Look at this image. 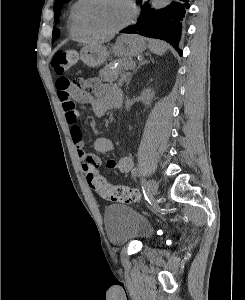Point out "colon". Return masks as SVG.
I'll return each instance as SVG.
<instances>
[{
	"mask_svg": "<svg viewBox=\"0 0 245 300\" xmlns=\"http://www.w3.org/2000/svg\"><path fill=\"white\" fill-rule=\"evenodd\" d=\"M77 62V53L72 50L59 51L52 59V66L57 74H63L67 69ZM73 86L80 84L70 81ZM89 186L101 197L117 202H138L140 193L137 189L124 185L109 184L100 174H90L87 177Z\"/></svg>",
	"mask_w": 245,
	"mask_h": 300,
	"instance_id": "5ec220e1",
	"label": "colon"
}]
</instances>
